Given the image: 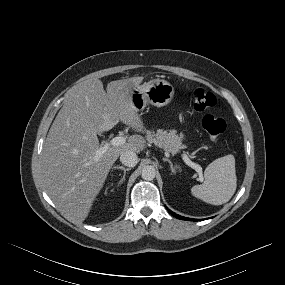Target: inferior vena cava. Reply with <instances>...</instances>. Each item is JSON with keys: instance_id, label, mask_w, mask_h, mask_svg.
I'll return each instance as SVG.
<instances>
[{"instance_id": "1", "label": "inferior vena cava", "mask_w": 285, "mask_h": 285, "mask_svg": "<svg viewBox=\"0 0 285 285\" xmlns=\"http://www.w3.org/2000/svg\"><path fill=\"white\" fill-rule=\"evenodd\" d=\"M122 164L128 167H134L138 163V157L133 151H124L120 155Z\"/></svg>"}]
</instances>
